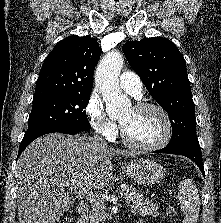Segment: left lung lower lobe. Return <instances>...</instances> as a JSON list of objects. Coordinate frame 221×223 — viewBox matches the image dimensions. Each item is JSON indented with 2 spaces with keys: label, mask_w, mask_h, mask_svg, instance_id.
I'll list each match as a JSON object with an SVG mask.
<instances>
[{
  "label": "left lung lower lobe",
  "mask_w": 221,
  "mask_h": 223,
  "mask_svg": "<svg viewBox=\"0 0 221 223\" xmlns=\"http://www.w3.org/2000/svg\"><path fill=\"white\" fill-rule=\"evenodd\" d=\"M154 152L186 156L197 164L202 174L205 176L199 143H184V144H178V145H173V146L167 145L165 148L154 151Z\"/></svg>",
  "instance_id": "obj_1"
}]
</instances>
